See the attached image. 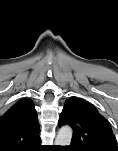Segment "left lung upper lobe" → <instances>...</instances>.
<instances>
[{
    "label": "left lung upper lobe",
    "instance_id": "5c2ea615",
    "mask_svg": "<svg viewBox=\"0 0 118 151\" xmlns=\"http://www.w3.org/2000/svg\"><path fill=\"white\" fill-rule=\"evenodd\" d=\"M73 128L72 146L76 151H118L111 125L86 100L71 97L66 100L58 125Z\"/></svg>",
    "mask_w": 118,
    "mask_h": 151
}]
</instances>
